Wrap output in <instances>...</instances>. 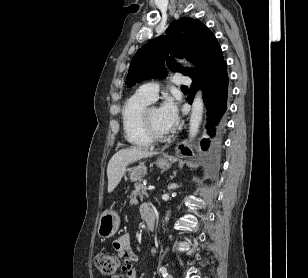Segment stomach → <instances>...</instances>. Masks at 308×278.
I'll return each mask as SVG.
<instances>
[{
    "instance_id": "obj_1",
    "label": "stomach",
    "mask_w": 308,
    "mask_h": 278,
    "mask_svg": "<svg viewBox=\"0 0 308 278\" xmlns=\"http://www.w3.org/2000/svg\"><path fill=\"white\" fill-rule=\"evenodd\" d=\"M156 165L162 170H167L171 167V162L167 159L159 158ZM131 181H140L147 173V167L144 163L128 169ZM120 225V216L113 209L104 211L99 219L98 235L102 239L112 237L118 230Z\"/></svg>"
}]
</instances>
